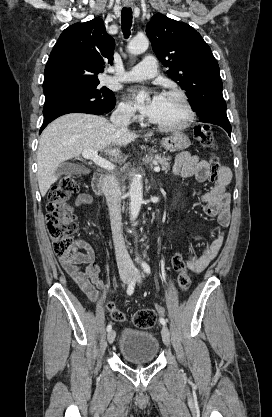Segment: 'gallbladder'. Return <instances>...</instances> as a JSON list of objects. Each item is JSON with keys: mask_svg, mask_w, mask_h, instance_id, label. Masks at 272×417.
Returning a JSON list of instances; mask_svg holds the SVG:
<instances>
[{"mask_svg": "<svg viewBox=\"0 0 272 417\" xmlns=\"http://www.w3.org/2000/svg\"><path fill=\"white\" fill-rule=\"evenodd\" d=\"M87 172L84 166L67 162L61 163L56 170L57 175H81Z\"/></svg>", "mask_w": 272, "mask_h": 417, "instance_id": "1", "label": "gallbladder"}]
</instances>
